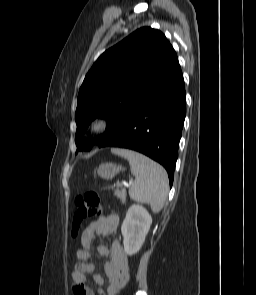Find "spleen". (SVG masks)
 <instances>
[{
    "mask_svg": "<svg viewBox=\"0 0 256 295\" xmlns=\"http://www.w3.org/2000/svg\"><path fill=\"white\" fill-rule=\"evenodd\" d=\"M114 153L129 161L135 181L129 189L131 199L136 202L148 203L154 213L164 206L168 194V175L164 168L148 157L124 149H113Z\"/></svg>",
    "mask_w": 256,
    "mask_h": 295,
    "instance_id": "obj_1",
    "label": "spleen"
}]
</instances>
